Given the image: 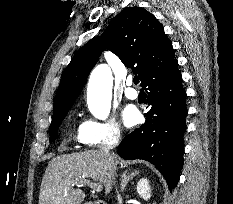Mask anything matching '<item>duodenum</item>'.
<instances>
[{"label": "duodenum", "mask_w": 233, "mask_h": 204, "mask_svg": "<svg viewBox=\"0 0 233 204\" xmlns=\"http://www.w3.org/2000/svg\"><path fill=\"white\" fill-rule=\"evenodd\" d=\"M85 204H107V203H105V202H103L101 200H97V201L87 202Z\"/></svg>", "instance_id": "obj_1"}]
</instances>
